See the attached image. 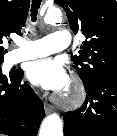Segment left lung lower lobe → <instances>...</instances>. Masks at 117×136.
Returning a JSON list of instances; mask_svg holds the SVG:
<instances>
[{
  "label": "left lung lower lobe",
  "instance_id": "0a47b994",
  "mask_svg": "<svg viewBox=\"0 0 117 136\" xmlns=\"http://www.w3.org/2000/svg\"><path fill=\"white\" fill-rule=\"evenodd\" d=\"M81 108L64 115V136H117V73L85 86Z\"/></svg>",
  "mask_w": 117,
  "mask_h": 136
}]
</instances>
